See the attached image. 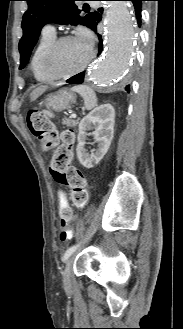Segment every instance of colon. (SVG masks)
Segmentation results:
<instances>
[{"instance_id":"obj_1","label":"colon","mask_w":183,"mask_h":329,"mask_svg":"<svg viewBox=\"0 0 183 329\" xmlns=\"http://www.w3.org/2000/svg\"><path fill=\"white\" fill-rule=\"evenodd\" d=\"M27 126L29 130L38 138L44 151L55 149L50 163V173L54 181L64 187H68L71 192V203L76 208H81L87 200V183L81 170L72 165L74 133L64 130L58 134L50 113L44 109H32L27 114ZM59 140L61 144L57 146ZM70 206L66 199H60ZM70 218H61V228L59 239L67 241L71 238V231L66 223Z\"/></svg>"}]
</instances>
